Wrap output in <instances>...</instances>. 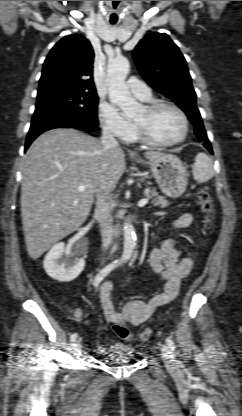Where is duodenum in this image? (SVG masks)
<instances>
[{
	"instance_id": "obj_1",
	"label": "duodenum",
	"mask_w": 242,
	"mask_h": 416,
	"mask_svg": "<svg viewBox=\"0 0 242 416\" xmlns=\"http://www.w3.org/2000/svg\"><path fill=\"white\" fill-rule=\"evenodd\" d=\"M135 221L136 219L134 217H130L127 221V224L134 223ZM123 230H124V226H118L113 233V240H116L120 236V234L123 232Z\"/></svg>"
}]
</instances>
